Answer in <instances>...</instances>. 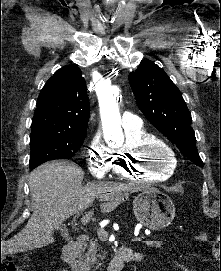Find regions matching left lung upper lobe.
<instances>
[{"mask_svg":"<svg viewBox=\"0 0 221 271\" xmlns=\"http://www.w3.org/2000/svg\"><path fill=\"white\" fill-rule=\"evenodd\" d=\"M129 83L136 103L148 121L176 144L183 155L202 166L191 127V114L180 90L164 70L147 61L129 74Z\"/></svg>","mask_w":221,"mask_h":271,"instance_id":"5c2ea615","label":"left lung upper lobe"}]
</instances>
